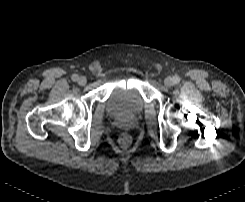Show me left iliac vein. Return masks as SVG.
<instances>
[{"label":"left iliac vein","instance_id":"left-iliac-vein-1","mask_svg":"<svg viewBox=\"0 0 245 202\" xmlns=\"http://www.w3.org/2000/svg\"><path fill=\"white\" fill-rule=\"evenodd\" d=\"M173 83H174V81H173V79H172L171 77H167V78H165V80H164V84H165L166 86H168V87L172 86Z\"/></svg>","mask_w":245,"mask_h":202}]
</instances>
